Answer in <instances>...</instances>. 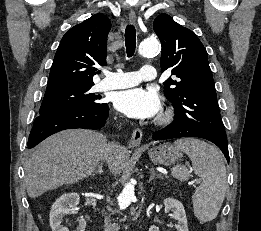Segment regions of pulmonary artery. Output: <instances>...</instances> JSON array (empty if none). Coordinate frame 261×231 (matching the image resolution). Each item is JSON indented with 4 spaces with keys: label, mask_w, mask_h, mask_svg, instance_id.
Here are the masks:
<instances>
[{
    "label": "pulmonary artery",
    "mask_w": 261,
    "mask_h": 231,
    "mask_svg": "<svg viewBox=\"0 0 261 231\" xmlns=\"http://www.w3.org/2000/svg\"><path fill=\"white\" fill-rule=\"evenodd\" d=\"M156 79V70L153 66L145 65L138 72H110L100 82V88L104 90H116L133 87L141 81H153Z\"/></svg>",
    "instance_id": "e3ab8cb5"
}]
</instances>
